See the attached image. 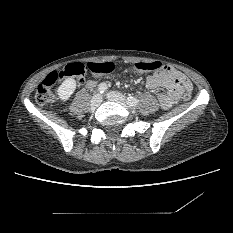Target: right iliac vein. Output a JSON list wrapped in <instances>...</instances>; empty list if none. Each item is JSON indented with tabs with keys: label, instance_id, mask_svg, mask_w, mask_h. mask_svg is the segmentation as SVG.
<instances>
[{
	"label": "right iliac vein",
	"instance_id": "obj_1",
	"mask_svg": "<svg viewBox=\"0 0 233 233\" xmlns=\"http://www.w3.org/2000/svg\"><path fill=\"white\" fill-rule=\"evenodd\" d=\"M101 102H102V96L100 94H95L91 99L90 105L92 108H97L100 106Z\"/></svg>",
	"mask_w": 233,
	"mask_h": 233
}]
</instances>
